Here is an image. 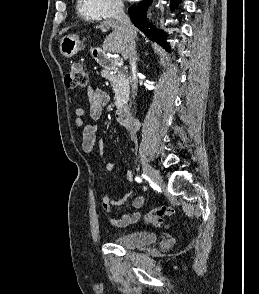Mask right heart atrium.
<instances>
[{
	"label": "right heart atrium",
	"mask_w": 259,
	"mask_h": 294,
	"mask_svg": "<svg viewBox=\"0 0 259 294\" xmlns=\"http://www.w3.org/2000/svg\"><path fill=\"white\" fill-rule=\"evenodd\" d=\"M95 10L100 18L116 17L124 11L122 0H92Z\"/></svg>",
	"instance_id": "d8ad5b80"
}]
</instances>
